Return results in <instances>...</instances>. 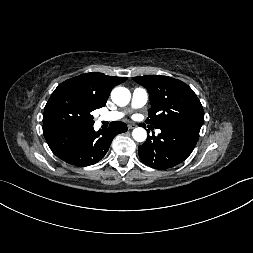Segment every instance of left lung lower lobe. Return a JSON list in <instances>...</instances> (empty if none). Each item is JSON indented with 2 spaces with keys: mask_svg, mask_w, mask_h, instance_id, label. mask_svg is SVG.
<instances>
[{
  "mask_svg": "<svg viewBox=\"0 0 253 253\" xmlns=\"http://www.w3.org/2000/svg\"><path fill=\"white\" fill-rule=\"evenodd\" d=\"M160 129L158 136H148L146 142L138 147L139 157L152 168L167 169L189 157L198 141L200 130Z\"/></svg>",
  "mask_w": 253,
  "mask_h": 253,
  "instance_id": "left-lung-lower-lobe-1",
  "label": "left lung lower lobe"
}]
</instances>
